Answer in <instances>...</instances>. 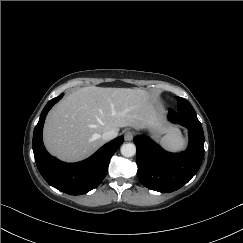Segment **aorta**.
Listing matches in <instances>:
<instances>
[{"mask_svg":"<svg viewBox=\"0 0 243 243\" xmlns=\"http://www.w3.org/2000/svg\"><path fill=\"white\" fill-rule=\"evenodd\" d=\"M121 154L125 157H132L136 154V146L133 143H125L121 146Z\"/></svg>","mask_w":243,"mask_h":243,"instance_id":"1","label":"aorta"}]
</instances>
